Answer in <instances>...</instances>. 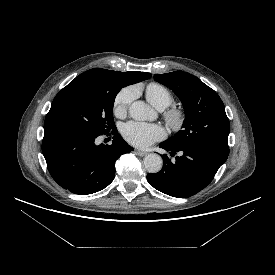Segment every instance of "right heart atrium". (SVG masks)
<instances>
[{"instance_id": "1", "label": "right heart atrium", "mask_w": 275, "mask_h": 275, "mask_svg": "<svg viewBox=\"0 0 275 275\" xmlns=\"http://www.w3.org/2000/svg\"><path fill=\"white\" fill-rule=\"evenodd\" d=\"M135 91L132 87L122 88L113 100V113L121 118L127 113L128 107L132 102Z\"/></svg>"}]
</instances>
